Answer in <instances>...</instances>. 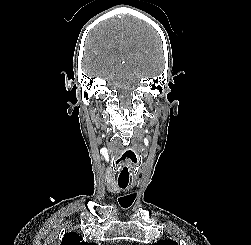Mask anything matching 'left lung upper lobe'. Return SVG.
<instances>
[{"label": "left lung upper lobe", "instance_id": "5c2ea615", "mask_svg": "<svg viewBox=\"0 0 251 245\" xmlns=\"http://www.w3.org/2000/svg\"><path fill=\"white\" fill-rule=\"evenodd\" d=\"M153 245H178L175 241L173 240H161V241H158L156 243H154Z\"/></svg>", "mask_w": 251, "mask_h": 245}]
</instances>
